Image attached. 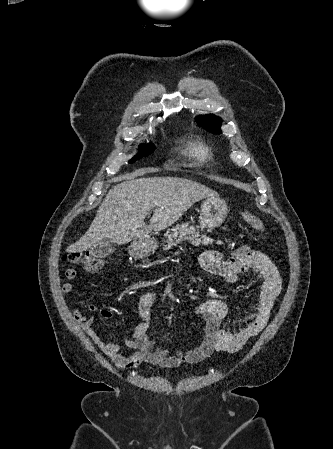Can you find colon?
Listing matches in <instances>:
<instances>
[{"label":"colon","mask_w":333,"mask_h":449,"mask_svg":"<svg viewBox=\"0 0 333 449\" xmlns=\"http://www.w3.org/2000/svg\"><path fill=\"white\" fill-rule=\"evenodd\" d=\"M242 217L252 229L258 232L265 231L266 227L264 223L252 213L244 211L242 213ZM64 260L70 264L81 265L90 272L99 271L105 263V260L101 257H98L86 251L78 250L69 251L64 256Z\"/></svg>","instance_id":"5ec220e1"}]
</instances>
